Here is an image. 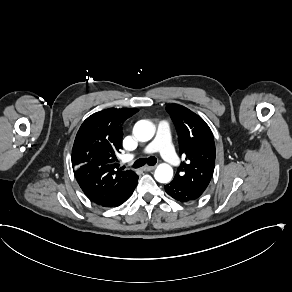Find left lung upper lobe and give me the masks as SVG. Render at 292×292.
<instances>
[{
	"mask_svg": "<svg viewBox=\"0 0 292 292\" xmlns=\"http://www.w3.org/2000/svg\"><path fill=\"white\" fill-rule=\"evenodd\" d=\"M167 112L176 127L180 155L184 161L173 182L203 193L210 183L215 167V143L207 123L188 108L169 104Z\"/></svg>",
	"mask_w": 292,
	"mask_h": 292,
	"instance_id": "5c2ea615",
	"label": "left lung upper lobe"
}]
</instances>
